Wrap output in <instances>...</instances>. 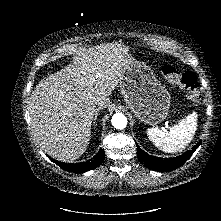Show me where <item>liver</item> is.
<instances>
[{
  "instance_id": "1",
  "label": "liver",
  "mask_w": 221,
  "mask_h": 221,
  "mask_svg": "<svg viewBox=\"0 0 221 221\" xmlns=\"http://www.w3.org/2000/svg\"><path fill=\"white\" fill-rule=\"evenodd\" d=\"M128 57V46L101 44L78 53L72 64L39 82L29 100V114L33 136L42 150L63 162L74 161L86 151L95 100L109 99Z\"/></svg>"
}]
</instances>
